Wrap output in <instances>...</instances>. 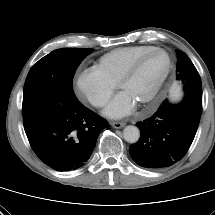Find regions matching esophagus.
Returning a JSON list of instances; mask_svg holds the SVG:
<instances>
[{
    "instance_id": "obj_1",
    "label": "esophagus",
    "mask_w": 215,
    "mask_h": 215,
    "mask_svg": "<svg viewBox=\"0 0 215 215\" xmlns=\"http://www.w3.org/2000/svg\"><path fill=\"white\" fill-rule=\"evenodd\" d=\"M110 125L116 129L122 128L125 126L124 122H110Z\"/></svg>"
}]
</instances>
